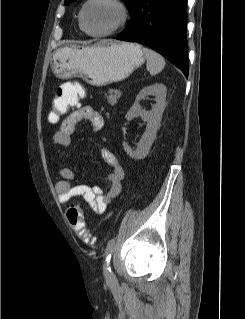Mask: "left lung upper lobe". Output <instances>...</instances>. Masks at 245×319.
<instances>
[{
  "label": "left lung upper lobe",
  "mask_w": 245,
  "mask_h": 319,
  "mask_svg": "<svg viewBox=\"0 0 245 319\" xmlns=\"http://www.w3.org/2000/svg\"><path fill=\"white\" fill-rule=\"evenodd\" d=\"M74 1L75 0H65V5H68ZM122 1L127 5L130 15H132L136 7V4L138 3L139 0H122Z\"/></svg>",
  "instance_id": "1"
}]
</instances>
